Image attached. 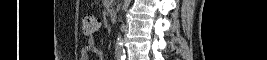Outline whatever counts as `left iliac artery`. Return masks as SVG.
<instances>
[{
    "mask_svg": "<svg viewBox=\"0 0 267 60\" xmlns=\"http://www.w3.org/2000/svg\"><path fill=\"white\" fill-rule=\"evenodd\" d=\"M125 58H126V56H124L122 60H125Z\"/></svg>",
    "mask_w": 267,
    "mask_h": 60,
    "instance_id": "obj_1",
    "label": "left iliac artery"
}]
</instances>
